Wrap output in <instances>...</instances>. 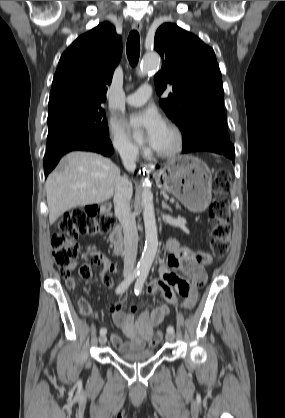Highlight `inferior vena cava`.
I'll return each mask as SVG.
<instances>
[{
	"mask_svg": "<svg viewBox=\"0 0 285 418\" xmlns=\"http://www.w3.org/2000/svg\"><path fill=\"white\" fill-rule=\"evenodd\" d=\"M117 150L121 156L124 167L132 172L136 168L138 148L132 144H120ZM132 183L126 177H119L115 183L114 209L115 215L123 227L124 233V270L125 275L133 272L138 248V232L135 216L131 212L130 200L132 197Z\"/></svg>",
	"mask_w": 285,
	"mask_h": 418,
	"instance_id": "obj_1",
	"label": "inferior vena cava"
}]
</instances>
